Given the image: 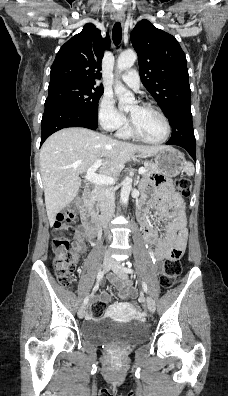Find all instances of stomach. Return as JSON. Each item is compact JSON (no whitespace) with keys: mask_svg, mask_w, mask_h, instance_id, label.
Wrapping results in <instances>:
<instances>
[{"mask_svg":"<svg viewBox=\"0 0 228 396\" xmlns=\"http://www.w3.org/2000/svg\"><path fill=\"white\" fill-rule=\"evenodd\" d=\"M146 156L154 159L158 172L169 177L177 176L186 163L183 154L172 147L164 148L156 153L148 154L143 157Z\"/></svg>","mask_w":228,"mask_h":396,"instance_id":"0dacf381","label":"stomach"}]
</instances>
